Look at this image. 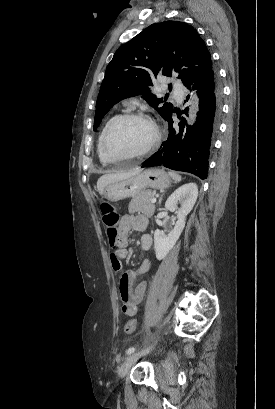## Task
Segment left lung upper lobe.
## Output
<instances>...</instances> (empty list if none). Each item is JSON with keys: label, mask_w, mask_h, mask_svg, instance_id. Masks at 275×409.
I'll return each mask as SVG.
<instances>
[{"label": "left lung upper lobe", "mask_w": 275, "mask_h": 409, "mask_svg": "<svg viewBox=\"0 0 275 409\" xmlns=\"http://www.w3.org/2000/svg\"><path fill=\"white\" fill-rule=\"evenodd\" d=\"M211 55L195 29L184 22L154 23L123 44L108 64L96 103L94 129L122 99L142 97L166 119L173 105L152 94L151 74H176L186 86L211 66Z\"/></svg>", "instance_id": "left-lung-upper-lobe-1"}]
</instances>
